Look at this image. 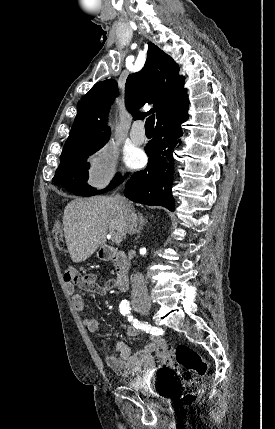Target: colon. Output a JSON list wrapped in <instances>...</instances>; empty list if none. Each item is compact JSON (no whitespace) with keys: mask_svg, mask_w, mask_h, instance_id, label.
Returning a JSON list of instances; mask_svg holds the SVG:
<instances>
[{"mask_svg":"<svg viewBox=\"0 0 275 429\" xmlns=\"http://www.w3.org/2000/svg\"><path fill=\"white\" fill-rule=\"evenodd\" d=\"M53 241L59 250L63 249V233L60 225L53 228ZM69 268L64 277H70ZM157 358L162 367L172 377L182 379L186 382H194L196 378L203 377L208 373V362L193 348L180 344L172 347L168 342L162 341L157 351ZM200 395V391L190 392L183 396L184 404H192Z\"/></svg>","mask_w":275,"mask_h":429,"instance_id":"obj_1","label":"colon"}]
</instances>
